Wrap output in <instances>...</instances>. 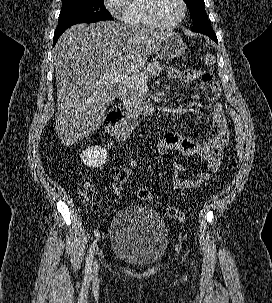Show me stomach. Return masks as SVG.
I'll return each mask as SVG.
<instances>
[{
    "label": "stomach",
    "instance_id": "obj_1",
    "mask_svg": "<svg viewBox=\"0 0 272 303\" xmlns=\"http://www.w3.org/2000/svg\"><path fill=\"white\" fill-rule=\"evenodd\" d=\"M187 46L183 39L176 33H169L155 50L159 59L171 60L185 53Z\"/></svg>",
    "mask_w": 272,
    "mask_h": 303
}]
</instances>
